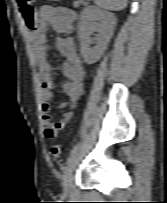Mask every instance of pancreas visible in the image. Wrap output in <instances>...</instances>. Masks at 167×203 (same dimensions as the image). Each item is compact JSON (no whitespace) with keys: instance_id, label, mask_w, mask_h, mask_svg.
Listing matches in <instances>:
<instances>
[{"instance_id":"obj_1","label":"pancreas","mask_w":167,"mask_h":203,"mask_svg":"<svg viewBox=\"0 0 167 203\" xmlns=\"http://www.w3.org/2000/svg\"><path fill=\"white\" fill-rule=\"evenodd\" d=\"M81 3H84V0L74 2V7H78Z\"/></svg>"}]
</instances>
